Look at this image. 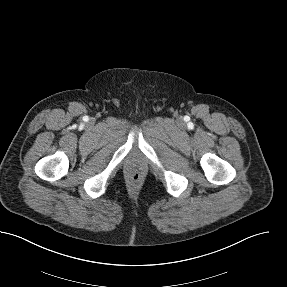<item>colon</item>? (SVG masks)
Here are the masks:
<instances>
[{"label": "colon", "mask_w": 287, "mask_h": 287, "mask_svg": "<svg viewBox=\"0 0 287 287\" xmlns=\"http://www.w3.org/2000/svg\"><path fill=\"white\" fill-rule=\"evenodd\" d=\"M133 176H134V178H138L139 174H138L137 172H135V173L133 174Z\"/></svg>", "instance_id": "colon-1"}]
</instances>
